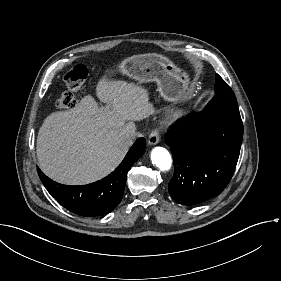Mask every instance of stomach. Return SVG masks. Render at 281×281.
Segmentation results:
<instances>
[{"label": "stomach", "mask_w": 281, "mask_h": 281, "mask_svg": "<svg viewBox=\"0 0 281 281\" xmlns=\"http://www.w3.org/2000/svg\"><path fill=\"white\" fill-rule=\"evenodd\" d=\"M119 71L139 83L156 82L160 96L166 101L178 103L188 98L189 74L164 55L150 53L128 57L119 65Z\"/></svg>", "instance_id": "obj_1"}]
</instances>
